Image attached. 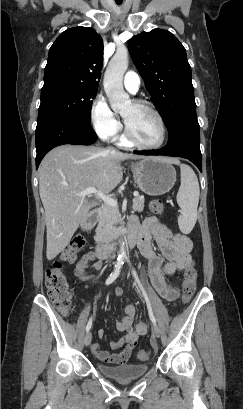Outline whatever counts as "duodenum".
Segmentation results:
<instances>
[{"instance_id":"obj_1","label":"duodenum","mask_w":243,"mask_h":409,"mask_svg":"<svg viewBox=\"0 0 243 409\" xmlns=\"http://www.w3.org/2000/svg\"><path fill=\"white\" fill-rule=\"evenodd\" d=\"M97 213L93 212L87 219L86 225H93L97 220ZM122 244L125 249H131L135 247L140 239V234L134 230H127L121 233ZM119 245L117 244H100L96 247L95 252L98 258L105 259L119 251Z\"/></svg>"}]
</instances>
